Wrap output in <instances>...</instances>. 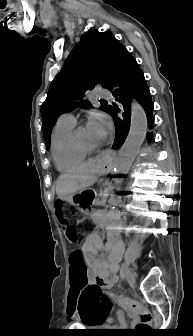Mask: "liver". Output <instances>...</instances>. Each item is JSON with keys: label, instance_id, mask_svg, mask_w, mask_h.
<instances>
[{"label": "liver", "instance_id": "obj_1", "mask_svg": "<svg viewBox=\"0 0 193 336\" xmlns=\"http://www.w3.org/2000/svg\"><path fill=\"white\" fill-rule=\"evenodd\" d=\"M99 160L100 158L89 160L61 174L56 182L58 198L70 201L74 193L94 185L99 175L103 173Z\"/></svg>", "mask_w": 193, "mask_h": 336}]
</instances>
